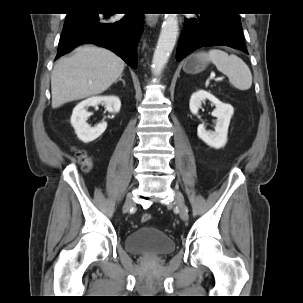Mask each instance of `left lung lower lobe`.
I'll list each match as a JSON object with an SVG mask.
<instances>
[{"instance_id":"obj_1","label":"left lung lower lobe","mask_w":303,"mask_h":303,"mask_svg":"<svg viewBox=\"0 0 303 303\" xmlns=\"http://www.w3.org/2000/svg\"><path fill=\"white\" fill-rule=\"evenodd\" d=\"M225 45L248 54L238 14L208 11L185 18L177 46L176 59L200 47Z\"/></svg>"}]
</instances>
